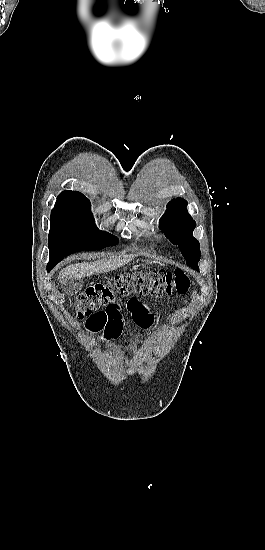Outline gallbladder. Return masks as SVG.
<instances>
[{
	"label": "gallbladder",
	"mask_w": 265,
	"mask_h": 550,
	"mask_svg": "<svg viewBox=\"0 0 265 550\" xmlns=\"http://www.w3.org/2000/svg\"><path fill=\"white\" fill-rule=\"evenodd\" d=\"M83 287V283L80 279H72L64 284L65 292L68 295L77 294Z\"/></svg>",
	"instance_id": "bac80fb5"
}]
</instances>
